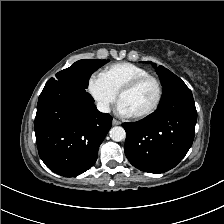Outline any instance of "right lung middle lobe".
I'll return each instance as SVG.
<instances>
[{"instance_id":"obj_1","label":"right lung middle lobe","mask_w":224,"mask_h":224,"mask_svg":"<svg viewBox=\"0 0 224 224\" xmlns=\"http://www.w3.org/2000/svg\"><path fill=\"white\" fill-rule=\"evenodd\" d=\"M109 60L83 59L56 74L47 84H64L72 88L84 90L88 87L90 76Z\"/></svg>"}]
</instances>
